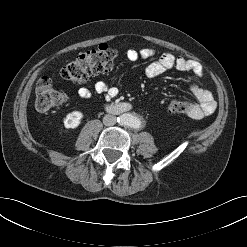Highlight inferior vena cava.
I'll use <instances>...</instances> for the list:
<instances>
[{
	"label": "inferior vena cava",
	"instance_id": "602c4592",
	"mask_svg": "<svg viewBox=\"0 0 247 247\" xmlns=\"http://www.w3.org/2000/svg\"><path fill=\"white\" fill-rule=\"evenodd\" d=\"M117 118L116 116L110 115V114H106L103 117V123L105 126H113L116 124Z\"/></svg>",
	"mask_w": 247,
	"mask_h": 247
}]
</instances>
